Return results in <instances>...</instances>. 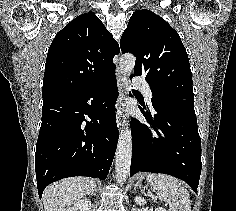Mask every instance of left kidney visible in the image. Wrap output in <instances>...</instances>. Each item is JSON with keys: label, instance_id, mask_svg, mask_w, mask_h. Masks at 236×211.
<instances>
[{"label": "left kidney", "instance_id": "5707ae66", "mask_svg": "<svg viewBox=\"0 0 236 211\" xmlns=\"http://www.w3.org/2000/svg\"><path fill=\"white\" fill-rule=\"evenodd\" d=\"M135 202L139 205V206H143L146 204V200L144 198H142L141 196H136L135 197ZM155 211H166V209H164L163 207H158L155 209Z\"/></svg>", "mask_w": 236, "mask_h": 211}]
</instances>
